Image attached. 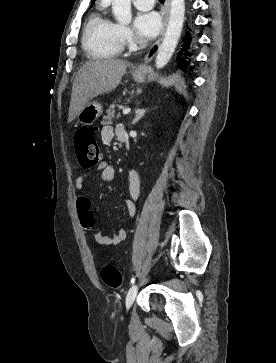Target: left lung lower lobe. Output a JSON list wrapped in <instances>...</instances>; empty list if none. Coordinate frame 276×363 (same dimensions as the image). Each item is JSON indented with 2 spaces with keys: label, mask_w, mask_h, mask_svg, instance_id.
Wrapping results in <instances>:
<instances>
[{
  "label": "left lung lower lobe",
  "mask_w": 276,
  "mask_h": 363,
  "mask_svg": "<svg viewBox=\"0 0 276 363\" xmlns=\"http://www.w3.org/2000/svg\"><path fill=\"white\" fill-rule=\"evenodd\" d=\"M181 46L182 47L176 57L177 66L182 71L187 72L191 68L194 48V37L190 32L186 33Z\"/></svg>",
  "instance_id": "1"
}]
</instances>
